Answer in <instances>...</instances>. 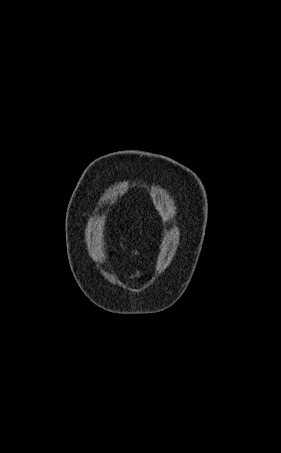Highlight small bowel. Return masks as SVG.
<instances>
[{"label":"small bowel","mask_w":281,"mask_h":453,"mask_svg":"<svg viewBox=\"0 0 281 453\" xmlns=\"http://www.w3.org/2000/svg\"><path fill=\"white\" fill-rule=\"evenodd\" d=\"M142 276L141 272L138 271V270H133L130 274H129V277L131 279H138Z\"/></svg>","instance_id":"small-bowel-1"}]
</instances>
